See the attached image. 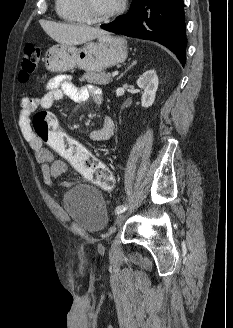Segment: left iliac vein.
Masks as SVG:
<instances>
[{"label": "left iliac vein", "instance_id": "1", "mask_svg": "<svg viewBox=\"0 0 233 328\" xmlns=\"http://www.w3.org/2000/svg\"><path fill=\"white\" fill-rule=\"evenodd\" d=\"M128 213H123L121 215H119L116 220H115V225L120 224L126 217H127Z\"/></svg>", "mask_w": 233, "mask_h": 328}]
</instances>
